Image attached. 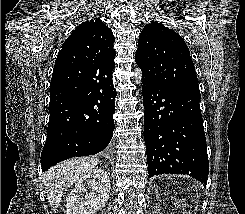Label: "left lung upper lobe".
<instances>
[{"label": "left lung upper lobe", "mask_w": 245, "mask_h": 214, "mask_svg": "<svg viewBox=\"0 0 245 214\" xmlns=\"http://www.w3.org/2000/svg\"><path fill=\"white\" fill-rule=\"evenodd\" d=\"M136 63L147 81L168 88L199 91L189 49L183 38L158 22L146 24L135 54Z\"/></svg>", "instance_id": "left-lung-upper-lobe-1"}]
</instances>
